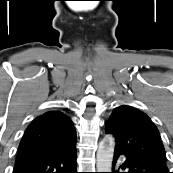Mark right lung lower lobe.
<instances>
[{
    "label": "right lung lower lobe",
    "mask_w": 173,
    "mask_h": 173,
    "mask_svg": "<svg viewBox=\"0 0 173 173\" xmlns=\"http://www.w3.org/2000/svg\"><path fill=\"white\" fill-rule=\"evenodd\" d=\"M13 173H77L76 148L16 161Z\"/></svg>",
    "instance_id": "1"
}]
</instances>
